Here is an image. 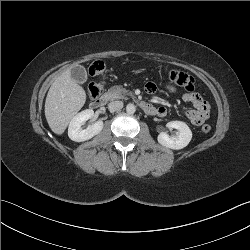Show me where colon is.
<instances>
[{
    "mask_svg": "<svg viewBox=\"0 0 250 250\" xmlns=\"http://www.w3.org/2000/svg\"><path fill=\"white\" fill-rule=\"evenodd\" d=\"M89 74L93 77H97L98 80L90 83L88 87L89 97L91 99L97 98L101 95L104 88V78L106 76V65L103 61H94L89 67ZM166 78L173 84L192 92L195 87V80L189 74L179 70H169L166 72ZM211 130V126L204 124L202 131L208 133Z\"/></svg>",
    "mask_w": 250,
    "mask_h": 250,
    "instance_id": "colon-1",
    "label": "colon"
}]
</instances>
